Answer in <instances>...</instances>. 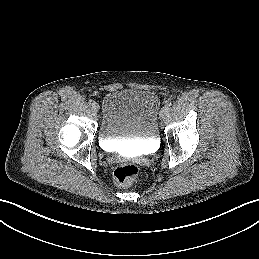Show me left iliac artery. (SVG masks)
<instances>
[{"label": "left iliac artery", "instance_id": "44dca946", "mask_svg": "<svg viewBox=\"0 0 259 259\" xmlns=\"http://www.w3.org/2000/svg\"><path fill=\"white\" fill-rule=\"evenodd\" d=\"M171 105H172V102L170 100H167L165 106L169 108Z\"/></svg>", "mask_w": 259, "mask_h": 259}]
</instances>
